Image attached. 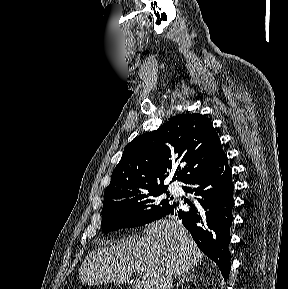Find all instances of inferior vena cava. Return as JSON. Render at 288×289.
Listing matches in <instances>:
<instances>
[{
	"instance_id": "602c4592",
	"label": "inferior vena cava",
	"mask_w": 288,
	"mask_h": 289,
	"mask_svg": "<svg viewBox=\"0 0 288 289\" xmlns=\"http://www.w3.org/2000/svg\"><path fill=\"white\" fill-rule=\"evenodd\" d=\"M173 275H168L164 284L162 285V289H172Z\"/></svg>"
}]
</instances>
